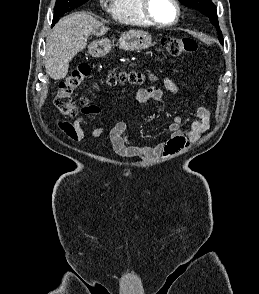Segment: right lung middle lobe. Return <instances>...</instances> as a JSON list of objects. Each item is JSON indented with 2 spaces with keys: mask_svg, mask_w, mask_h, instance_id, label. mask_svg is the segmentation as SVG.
<instances>
[{
  "mask_svg": "<svg viewBox=\"0 0 259 294\" xmlns=\"http://www.w3.org/2000/svg\"><path fill=\"white\" fill-rule=\"evenodd\" d=\"M87 1L88 0H56V4L54 7L55 15L53 17L52 25H54L59 20V16H62L66 12H69L72 9L79 7Z\"/></svg>",
  "mask_w": 259,
  "mask_h": 294,
  "instance_id": "right-lung-middle-lobe-1",
  "label": "right lung middle lobe"
}]
</instances>
